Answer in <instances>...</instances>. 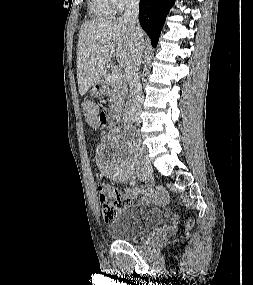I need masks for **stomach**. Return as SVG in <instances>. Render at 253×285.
I'll return each mask as SVG.
<instances>
[{"label": "stomach", "instance_id": "0dacf381", "mask_svg": "<svg viewBox=\"0 0 253 285\" xmlns=\"http://www.w3.org/2000/svg\"><path fill=\"white\" fill-rule=\"evenodd\" d=\"M104 94V87L102 85V83L98 82L95 83L92 87V89L90 90V95L94 96V97H98Z\"/></svg>", "mask_w": 253, "mask_h": 285}]
</instances>
